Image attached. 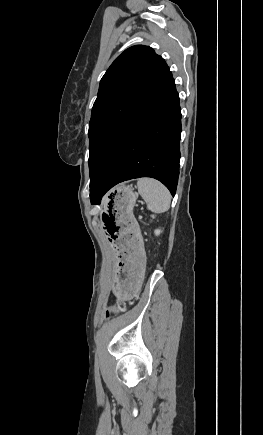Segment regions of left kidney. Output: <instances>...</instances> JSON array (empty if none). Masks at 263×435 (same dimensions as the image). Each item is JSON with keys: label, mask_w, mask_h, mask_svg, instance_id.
Returning a JSON list of instances; mask_svg holds the SVG:
<instances>
[{"label": "left kidney", "mask_w": 263, "mask_h": 435, "mask_svg": "<svg viewBox=\"0 0 263 435\" xmlns=\"http://www.w3.org/2000/svg\"><path fill=\"white\" fill-rule=\"evenodd\" d=\"M161 232H162V230L157 229V230H155V235L158 236Z\"/></svg>", "instance_id": "1"}]
</instances>
